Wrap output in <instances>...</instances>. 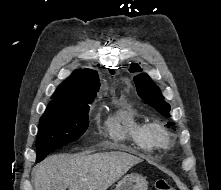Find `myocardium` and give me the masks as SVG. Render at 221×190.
<instances>
[{
	"label": "myocardium",
	"mask_w": 221,
	"mask_h": 190,
	"mask_svg": "<svg viewBox=\"0 0 221 190\" xmlns=\"http://www.w3.org/2000/svg\"><path fill=\"white\" fill-rule=\"evenodd\" d=\"M148 140L153 146L166 147L171 142V136L166 127L159 121H152L146 125Z\"/></svg>",
	"instance_id": "1"
}]
</instances>
